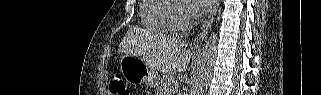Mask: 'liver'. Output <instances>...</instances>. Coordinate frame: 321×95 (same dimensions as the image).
<instances>
[{"label": "liver", "instance_id": "obj_1", "mask_svg": "<svg viewBox=\"0 0 321 95\" xmlns=\"http://www.w3.org/2000/svg\"><path fill=\"white\" fill-rule=\"evenodd\" d=\"M153 38L154 44L148 50V39ZM187 43L172 36H152L148 31L131 28L127 31L119 45V52L139 56L146 64L157 72L175 73L188 68L192 50Z\"/></svg>", "mask_w": 321, "mask_h": 95}]
</instances>
